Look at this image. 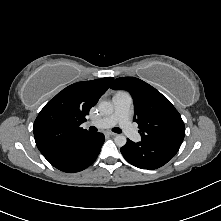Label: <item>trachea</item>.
Masks as SVG:
<instances>
[{
    "label": "trachea",
    "mask_w": 221,
    "mask_h": 221,
    "mask_svg": "<svg viewBox=\"0 0 221 221\" xmlns=\"http://www.w3.org/2000/svg\"><path fill=\"white\" fill-rule=\"evenodd\" d=\"M89 131L92 132V133L97 132V128L91 126V127L89 128ZM112 131L115 132V133H121V132H122V130H121L120 128H117V127H116V128H113Z\"/></svg>",
    "instance_id": "obj_1"
}]
</instances>
